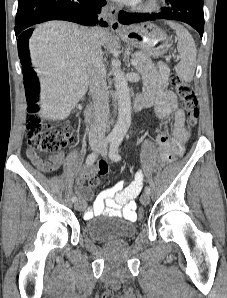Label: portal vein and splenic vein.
Wrapping results in <instances>:
<instances>
[{
    "label": "portal vein and splenic vein",
    "mask_w": 227,
    "mask_h": 298,
    "mask_svg": "<svg viewBox=\"0 0 227 298\" xmlns=\"http://www.w3.org/2000/svg\"><path fill=\"white\" fill-rule=\"evenodd\" d=\"M137 63H138V60L133 57L132 58V65L135 66V65H137Z\"/></svg>",
    "instance_id": "obj_1"
}]
</instances>
